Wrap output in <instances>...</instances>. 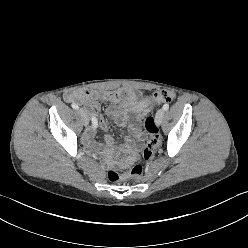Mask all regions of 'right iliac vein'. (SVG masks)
<instances>
[{
  "label": "right iliac vein",
  "instance_id": "right-iliac-vein-1",
  "mask_svg": "<svg viewBox=\"0 0 248 248\" xmlns=\"http://www.w3.org/2000/svg\"><path fill=\"white\" fill-rule=\"evenodd\" d=\"M79 113H80V115L82 117L83 124L85 126H87L89 124V120H90L88 113L84 109H80Z\"/></svg>",
  "mask_w": 248,
  "mask_h": 248
}]
</instances>
